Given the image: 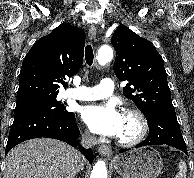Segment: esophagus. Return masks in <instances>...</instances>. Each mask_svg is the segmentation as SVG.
<instances>
[{"mask_svg":"<svg viewBox=\"0 0 194 178\" xmlns=\"http://www.w3.org/2000/svg\"><path fill=\"white\" fill-rule=\"evenodd\" d=\"M88 37L89 39H95L96 38V27L94 25H91L88 31ZM98 152L103 155L110 157L112 155V150L107 145H101L98 148Z\"/></svg>","mask_w":194,"mask_h":178,"instance_id":"1","label":"esophagus"}]
</instances>
